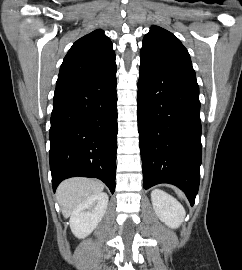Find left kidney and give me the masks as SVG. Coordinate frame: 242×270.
<instances>
[{
    "label": "left kidney",
    "instance_id": "left-kidney-1",
    "mask_svg": "<svg viewBox=\"0 0 242 270\" xmlns=\"http://www.w3.org/2000/svg\"><path fill=\"white\" fill-rule=\"evenodd\" d=\"M151 201L156 215L171 228H177L184 221L186 215L183 206L164 191L154 189Z\"/></svg>",
    "mask_w": 242,
    "mask_h": 270
}]
</instances>
